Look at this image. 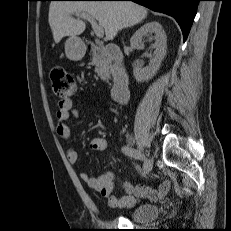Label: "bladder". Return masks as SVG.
<instances>
[{
  "instance_id": "1",
  "label": "bladder",
  "mask_w": 231,
  "mask_h": 231,
  "mask_svg": "<svg viewBox=\"0 0 231 231\" xmlns=\"http://www.w3.org/2000/svg\"><path fill=\"white\" fill-rule=\"evenodd\" d=\"M161 212L157 205L141 204L129 211V219L133 222L141 223L154 220Z\"/></svg>"
}]
</instances>
